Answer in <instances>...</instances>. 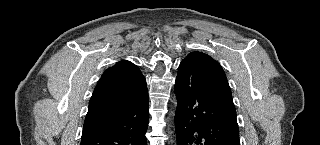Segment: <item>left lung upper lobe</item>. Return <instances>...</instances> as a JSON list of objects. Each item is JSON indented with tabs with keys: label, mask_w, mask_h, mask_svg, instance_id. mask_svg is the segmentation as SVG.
Returning <instances> with one entry per match:
<instances>
[{
	"label": "left lung upper lobe",
	"mask_w": 320,
	"mask_h": 145,
	"mask_svg": "<svg viewBox=\"0 0 320 145\" xmlns=\"http://www.w3.org/2000/svg\"><path fill=\"white\" fill-rule=\"evenodd\" d=\"M184 60H187L189 62H192L196 65H199V66H202L206 69H209V70H214V71H218L220 72L222 75H225L222 67L220 66V64L215 61L213 58H211L209 55L205 54V53H202V52H198V51H195V52H191L187 55V57L184 59ZM226 104L228 105V107L236 113V110H235V106H234V103H233V100H232V93L231 91L229 92V96H228V99L226 101Z\"/></svg>",
	"instance_id": "5c2ea615"
}]
</instances>
